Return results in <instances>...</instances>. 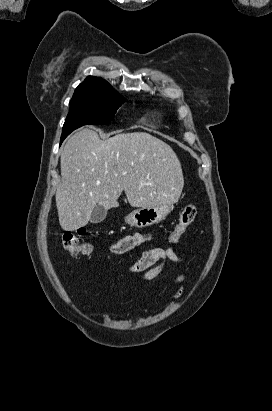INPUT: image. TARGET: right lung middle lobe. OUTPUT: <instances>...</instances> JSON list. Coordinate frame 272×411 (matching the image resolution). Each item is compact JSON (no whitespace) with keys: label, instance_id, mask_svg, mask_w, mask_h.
<instances>
[{"label":"right lung middle lobe","instance_id":"dd1d6c3e","mask_svg":"<svg viewBox=\"0 0 272 411\" xmlns=\"http://www.w3.org/2000/svg\"><path fill=\"white\" fill-rule=\"evenodd\" d=\"M123 103L124 98L113 88L74 94L61 137L83 125L109 123Z\"/></svg>","mask_w":272,"mask_h":411}]
</instances>
